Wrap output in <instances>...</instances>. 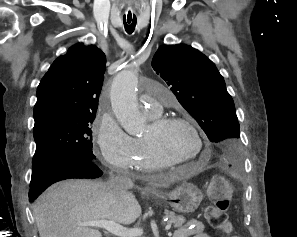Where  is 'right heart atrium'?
I'll list each match as a JSON object with an SVG mask.
<instances>
[{
  "mask_svg": "<svg viewBox=\"0 0 297 237\" xmlns=\"http://www.w3.org/2000/svg\"><path fill=\"white\" fill-rule=\"evenodd\" d=\"M96 146L101 159L116 170L133 169L134 139L121 128L115 117L104 111L96 123Z\"/></svg>",
  "mask_w": 297,
  "mask_h": 237,
  "instance_id": "d8ad5b80",
  "label": "right heart atrium"
}]
</instances>
